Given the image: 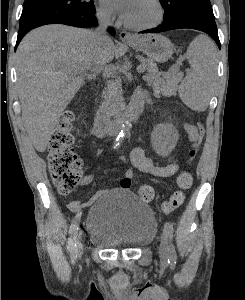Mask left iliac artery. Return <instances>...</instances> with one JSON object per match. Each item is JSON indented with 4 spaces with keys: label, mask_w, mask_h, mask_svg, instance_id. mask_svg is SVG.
<instances>
[{
    "label": "left iliac artery",
    "mask_w": 245,
    "mask_h": 300,
    "mask_svg": "<svg viewBox=\"0 0 245 300\" xmlns=\"http://www.w3.org/2000/svg\"><path fill=\"white\" fill-rule=\"evenodd\" d=\"M164 229H165V231L168 234L169 239H170L168 262L171 265H174L176 263L177 255H176L175 247L173 245V234H174L173 224L170 223V222H165L164 223Z\"/></svg>",
    "instance_id": "obj_1"
}]
</instances>
